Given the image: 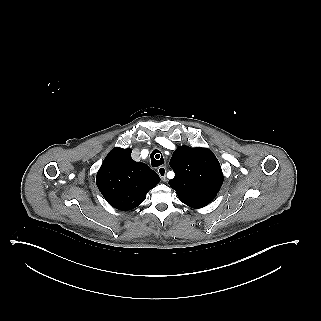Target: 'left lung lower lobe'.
<instances>
[{"mask_svg": "<svg viewBox=\"0 0 321 321\" xmlns=\"http://www.w3.org/2000/svg\"><path fill=\"white\" fill-rule=\"evenodd\" d=\"M216 196L188 197L181 200L192 208H201L209 204Z\"/></svg>", "mask_w": 321, "mask_h": 321, "instance_id": "left-lung-lower-lobe-1", "label": "left lung lower lobe"}]
</instances>
